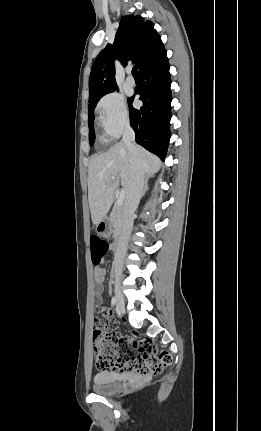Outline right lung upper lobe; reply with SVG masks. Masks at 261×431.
Returning a JSON list of instances; mask_svg holds the SVG:
<instances>
[{"label":"right lung upper lobe","instance_id":"right-lung-upper-lobe-1","mask_svg":"<svg viewBox=\"0 0 261 431\" xmlns=\"http://www.w3.org/2000/svg\"><path fill=\"white\" fill-rule=\"evenodd\" d=\"M164 50L160 35L151 21L141 16H123L114 44H107L97 56L89 78V98L113 87L115 81V58L126 65L132 60L141 69Z\"/></svg>","mask_w":261,"mask_h":431}]
</instances>
